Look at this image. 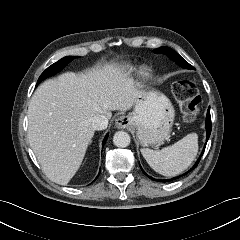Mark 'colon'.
Instances as JSON below:
<instances>
[{"label": "colon", "instance_id": "5ec220e1", "mask_svg": "<svg viewBox=\"0 0 240 240\" xmlns=\"http://www.w3.org/2000/svg\"><path fill=\"white\" fill-rule=\"evenodd\" d=\"M172 90L180 102L183 119L193 122L200 111V97L196 84L192 80H177L172 84Z\"/></svg>", "mask_w": 240, "mask_h": 240}]
</instances>
